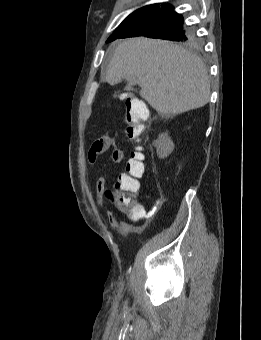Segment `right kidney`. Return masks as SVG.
Segmentation results:
<instances>
[{
  "instance_id": "right-kidney-1",
  "label": "right kidney",
  "mask_w": 261,
  "mask_h": 340,
  "mask_svg": "<svg viewBox=\"0 0 261 340\" xmlns=\"http://www.w3.org/2000/svg\"><path fill=\"white\" fill-rule=\"evenodd\" d=\"M153 145L156 147L159 158H166L174 150V143L168 136V133H162L158 139L154 141Z\"/></svg>"
}]
</instances>
